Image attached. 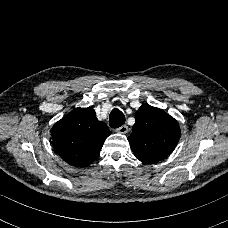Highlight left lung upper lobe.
Returning <instances> with one entry per match:
<instances>
[{
  "label": "left lung upper lobe",
  "mask_w": 228,
  "mask_h": 228,
  "mask_svg": "<svg viewBox=\"0 0 228 228\" xmlns=\"http://www.w3.org/2000/svg\"><path fill=\"white\" fill-rule=\"evenodd\" d=\"M179 138L177 121L165 111L144 103L135 114L128 141L136 158L154 164L173 152Z\"/></svg>",
  "instance_id": "5c2ea615"
}]
</instances>
